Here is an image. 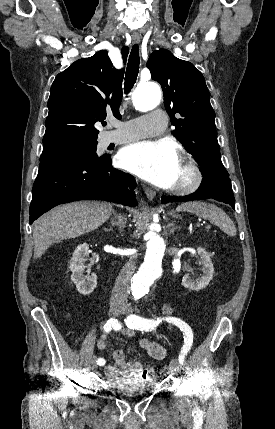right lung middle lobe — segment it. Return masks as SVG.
<instances>
[{
    "instance_id": "right-lung-middle-lobe-1",
    "label": "right lung middle lobe",
    "mask_w": 275,
    "mask_h": 429,
    "mask_svg": "<svg viewBox=\"0 0 275 429\" xmlns=\"http://www.w3.org/2000/svg\"><path fill=\"white\" fill-rule=\"evenodd\" d=\"M96 146L97 143L84 144L69 148L55 155L41 157L40 168L62 163H88L104 158V156L100 158L97 156Z\"/></svg>"
}]
</instances>
